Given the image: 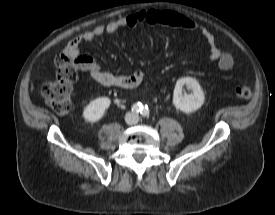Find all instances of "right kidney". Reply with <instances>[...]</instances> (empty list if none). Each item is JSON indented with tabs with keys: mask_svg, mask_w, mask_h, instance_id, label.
I'll list each match as a JSON object with an SVG mask.
<instances>
[{
	"mask_svg": "<svg viewBox=\"0 0 275 215\" xmlns=\"http://www.w3.org/2000/svg\"><path fill=\"white\" fill-rule=\"evenodd\" d=\"M111 104V100L108 97H100L91 101L83 111V117L89 122H96L100 120L106 109Z\"/></svg>",
	"mask_w": 275,
	"mask_h": 215,
	"instance_id": "obj_1",
	"label": "right kidney"
}]
</instances>
